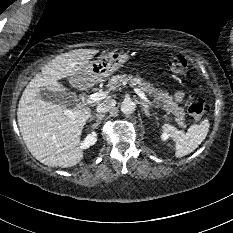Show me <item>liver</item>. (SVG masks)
Listing matches in <instances>:
<instances>
[{
	"instance_id": "liver-1",
	"label": "liver",
	"mask_w": 233,
	"mask_h": 233,
	"mask_svg": "<svg viewBox=\"0 0 233 233\" xmlns=\"http://www.w3.org/2000/svg\"><path fill=\"white\" fill-rule=\"evenodd\" d=\"M96 50L78 49L58 55L46 64L24 89L17 110L22 138L31 154L47 166L72 167L82 158L79 143L82 129L91 116L89 108L71 110L39 97L41 89L66 94L57 80L68 78L75 88H82L76 76L96 54Z\"/></svg>"
}]
</instances>
